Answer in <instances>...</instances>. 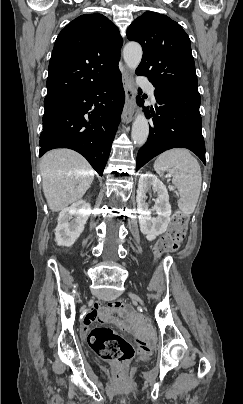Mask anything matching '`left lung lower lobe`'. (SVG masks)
<instances>
[{"label": "left lung lower lobe", "instance_id": "0a47b994", "mask_svg": "<svg viewBox=\"0 0 243 404\" xmlns=\"http://www.w3.org/2000/svg\"><path fill=\"white\" fill-rule=\"evenodd\" d=\"M156 114L146 112L151 118L149 137L139 150L136 171L158 154L172 148H187L204 164L205 143L199 112L200 94L194 91L155 87Z\"/></svg>", "mask_w": 243, "mask_h": 404}]
</instances>
